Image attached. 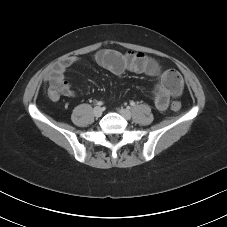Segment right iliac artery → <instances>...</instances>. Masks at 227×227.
I'll use <instances>...</instances> for the list:
<instances>
[{
	"label": "right iliac artery",
	"mask_w": 227,
	"mask_h": 227,
	"mask_svg": "<svg viewBox=\"0 0 227 227\" xmlns=\"http://www.w3.org/2000/svg\"><path fill=\"white\" fill-rule=\"evenodd\" d=\"M97 105L101 106V105H103V102L99 101V102H97Z\"/></svg>",
	"instance_id": "82829eb1"
}]
</instances>
